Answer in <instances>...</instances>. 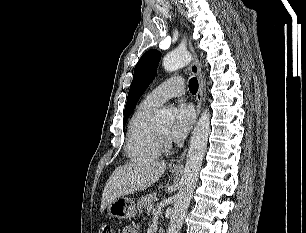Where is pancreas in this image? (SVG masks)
<instances>
[{"label":"pancreas","instance_id":"pancreas-1","mask_svg":"<svg viewBox=\"0 0 306 233\" xmlns=\"http://www.w3.org/2000/svg\"><path fill=\"white\" fill-rule=\"evenodd\" d=\"M156 199V193L153 192L151 194H147L143 197H141L137 201V209L139 212H142L143 209H146L150 204H152Z\"/></svg>","mask_w":306,"mask_h":233}]
</instances>
